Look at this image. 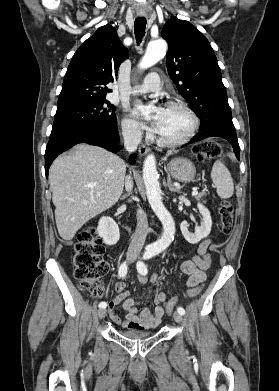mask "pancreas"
<instances>
[{"instance_id":"cf45deb5","label":"pancreas","mask_w":279,"mask_h":391,"mask_svg":"<svg viewBox=\"0 0 279 391\" xmlns=\"http://www.w3.org/2000/svg\"><path fill=\"white\" fill-rule=\"evenodd\" d=\"M205 193H200V194H198L197 196H196V199L197 200H201V199H203L204 197H205ZM205 202V201H204Z\"/></svg>"}]
</instances>
